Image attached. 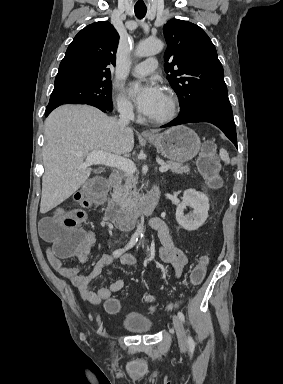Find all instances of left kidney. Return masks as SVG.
<instances>
[{"label": "left kidney", "instance_id": "obj_1", "mask_svg": "<svg viewBox=\"0 0 283 384\" xmlns=\"http://www.w3.org/2000/svg\"><path fill=\"white\" fill-rule=\"evenodd\" d=\"M181 204L176 208V220L184 230L193 232L203 226L208 218L209 200L206 194L196 192V190H185ZM186 206L193 208L192 214H184Z\"/></svg>", "mask_w": 283, "mask_h": 384}]
</instances>
